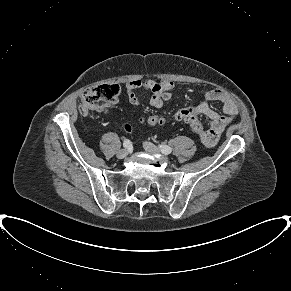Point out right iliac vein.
Here are the masks:
<instances>
[{
	"instance_id": "right-iliac-vein-1",
	"label": "right iliac vein",
	"mask_w": 291,
	"mask_h": 291,
	"mask_svg": "<svg viewBox=\"0 0 291 291\" xmlns=\"http://www.w3.org/2000/svg\"><path fill=\"white\" fill-rule=\"evenodd\" d=\"M128 155V150L127 149H121L117 153V158L123 159Z\"/></svg>"
}]
</instances>
